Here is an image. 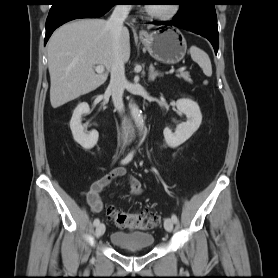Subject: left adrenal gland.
<instances>
[{"mask_svg": "<svg viewBox=\"0 0 278 278\" xmlns=\"http://www.w3.org/2000/svg\"><path fill=\"white\" fill-rule=\"evenodd\" d=\"M162 73L155 71L154 66L151 64L149 67V77L148 80L149 81H154L157 77H161Z\"/></svg>", "mask_w": 278, "mask_h": 278, "instance_id": "left-adrenal-gland-1", "label": "left adrenal gland"}]
</instances>
